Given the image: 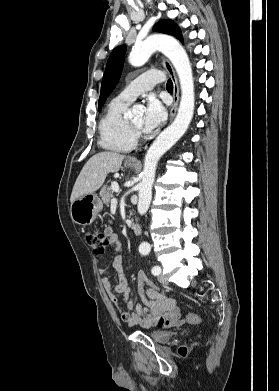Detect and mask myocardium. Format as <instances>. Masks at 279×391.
I'll use <instances>...</instances> for the list:
<instances>
[{
  "label": "myocardium",
  "mask_w": 279,
  "mask_h": 391,
  "mask_svg": "<svg viewBox=\"0 0 279 391\" xmlns=\"http://www.w3.org/2000/svg\"><path fill=\"white\" fill-rule=\"evenodd\" d=\"M128 123H129V126H130L131 130L133 131L134 135L136 137L141 136V134H142L141 127L135 125L130 119H128Z\"/></svg>",
  "instance_id": "f54148a6"
}]
</instances>
